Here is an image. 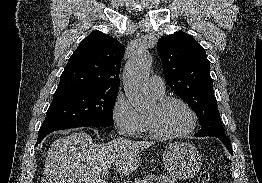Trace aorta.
<instances>
[{"instance_id": "aorta-1", "label": "aorta", "mask_w": 262, "mask_h": 183, "mask_svg": "<svg viewBox=\"0 0 262 183\" xmlns=\"http://www.w3.org/2000/svg\"><path fill=\"white\" fill-rule=\"evenodd\" d=\"M151 65L152 57L149 51L140 50L124 68V91L129 102L138 112L148 110L154 103L146 84Z\"/></svg>"}]
</instances>
